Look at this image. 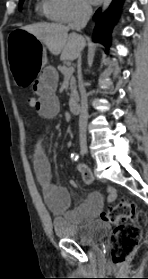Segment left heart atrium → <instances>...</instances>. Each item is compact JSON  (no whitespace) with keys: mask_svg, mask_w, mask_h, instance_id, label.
<instances>
[{"mask_svg":"<svg viewBox=\"0 0 148 279\" xmlns=\"http://www.w3.org/2000/svg\"><path fill=\"white\" fill-rule=\"evenodd\" d=\"M89 3L91 4H98L99 2H101L102 0H87Z\"/></svg>","mask_w":148,"mask_h":279,"instance_id":"obj_1","label":"left heart atrium"}]
</instances>
